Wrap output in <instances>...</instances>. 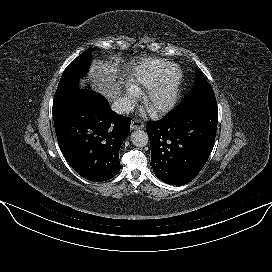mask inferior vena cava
<instances>
[{
    "label": "inferior vena cava",
    "mask_w": 272,
    "mask_h": 272,
    "mask_svg": "<svg viewBox=\"0 0 272 272\" xmlns=\"http://www.w3.org/2000/svg\"><path fill=\"white\" fill-rule=\"evenodd\" d=\"M135 103L133 100L127 97H121L112 103V110L118 114H129L133 111Z\"/></svg>",
    "instance_id": "obj_1"
}]
</instances>
